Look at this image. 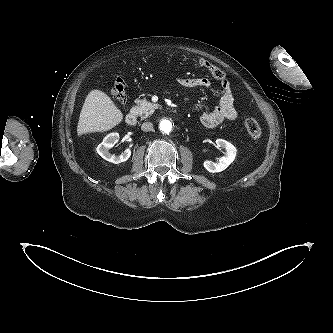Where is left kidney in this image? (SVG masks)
Segmentation results:
<instances>
[{"label": "left kidney", "instance_id": "1", "mask_svg": "<svg viewBox=\"0 0 333 333\" xmlns=\"http://www.w3.org/2000/svg\"><path fill=\"white\" fill-rule=\"evenodd\" d=\"M216 145L219 148H223L225 150V156L219 159V163H214L212 161H204L203 166L204 168L211 173L221 172L225 170L235 159L236 157V148L230 142L217 139Z\"/></svg>", "mask_w": 333, "mask_h": 333}]
</instances>
